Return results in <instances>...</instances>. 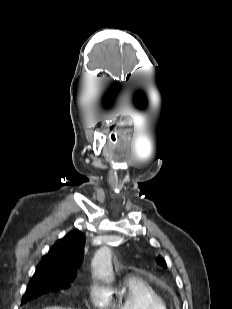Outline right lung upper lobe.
Here are the masks:
<instances>
[{
  "label": "right lung upper lobe",
  "instance_id": "cb5924a9",
  "mask_svg": "<svg viewBox=\"0 0 232 309\" xmlns=\"http://www.w3.org/2000/svg\"><path fill=\"white\" fill-rule=\"evenodd\" d=\"M84 243V235L79 230L69 232L43 256L32 278L44 275L73 281L77 268L82 263Z\"/></svg>",
  "mask_w": 232,
  "mask_h": 309
}]
</instances>
